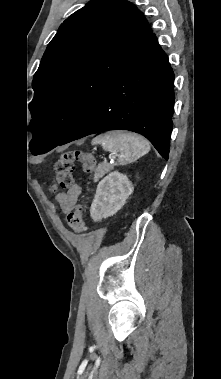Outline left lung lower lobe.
Instances as JSON below:
<instances>
[{
	"instance_id": "left-lung-lower-lobe-1",
	"label": "left lung lower lobe",
	"mask_w": 221,
	"mask_h": 379,
	"mask_svg": "<svg viewBox=\"0 0 221 379\" xmlns=\"http://www.w3.org/2000/svg\"><path fill=\"white\" fill-rule=\"evenodd\" d=\"M173 82L168 57L152 34L58 145L98 132L130 130L145 136L168 159L175 99Z\"/></svg>"
}]
</instances>
